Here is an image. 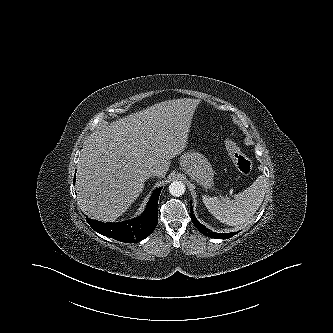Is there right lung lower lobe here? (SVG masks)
Returning a JSON list of instances; mask_svg holds the SVG:
<instances>
[{"instance_id":"obj_1","label":"right lung lower lobe","mask_w":333,"mask_h":333,"mask_svg":"<svg viewBox=\"0 0 333 333\" xmlns=\"http://www.w3.org/2000/svg\"><path fill=\"white\" fill-rule=\"evenodd\" d=\"M161 189L154 190L140 217L125 222L104 223L86 219L89 225L98 233L121 242L134 243L149 236L158 222L157 204Z\"/></svg>"}]
</instances>
